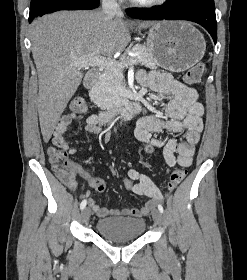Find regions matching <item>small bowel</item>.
<instances>
[{"instance_id": "c3829d8e", "label": "small bowel", "mask_w": 247, "mask_h": 280, "mask_svg": "<svg viewBox=\"0 0 247 280\" xmlns=\"http://www.w3.org/2000/svg\"><path fill=\"white\" fill-rule=\"evenodd\" d=\"M138 81L150 88L152 91L162 95L171 96L168 102L164 116L150 114L141 118L135 129V137L138 141L151 143L154 149L161 148L163 157L169 167L180 165L189 167L193 161L195 147L200 139L203 129L202 116L204 109L197 100L195 89L188 87L175 80L171 75L158 71L149 73L140 70L137 74ZM79 117L69 113L62 116L52 134V142L56 147L63 149L69 154L75 153L67 141L65 134L70 124ZM103 123L99 116L91 115L85 120L84 130L91 135H100L102 133ZM167 132L173 135L184 134L183 141L178 142L174 137H156L154 134ZM76 176L85 179L90 187L98 192L105 190V182L97 176H92L82 166L73 164V175L70 179H62L63 183L70 189L77 187ZM133 185L129 190L137 195L146 196L152 201L146 203L142 208H124L108 209L101 206L94 198L88 199L89 208L100 218L108 216H131L139 218L145 216L151 210L154 201L161 199V192L155 183L145 174L138 170L128 171ZM89 192H86L88 195Z\"/></svg>"}]
</instances>
